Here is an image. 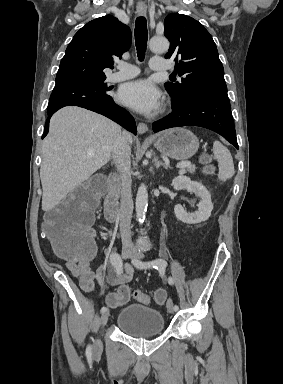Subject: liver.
Segmentation results:
<instances>
[{
  "instance_id": "1",
  "label": "liver",
  "mask_w": 283,
  "mask_h": 384,
  "mask_svg": "<svg viewBox=\"0 0 283 384\" xmlns=\"http://www.w3.org/2000/svg\"><path fill=\"white\" fill-rule=\"evenodd\" d=\"M118 136L120 126L100 114L76 106L56 112L42 144V210H53L69 192L105 166Z\"/></svg>"
}]
</instances>
